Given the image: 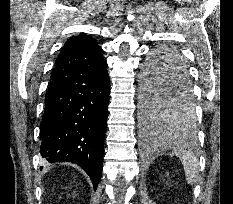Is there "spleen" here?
Returning a JSON list of instances; mask_svg holds the SVG:
<instances>
[{
  "label": "spleen",
  "instance_id": "obj_1",
  "mask_svg": "<svg viewBox=\"0 0 233 204\" xmlns=\"http://www.w3.org/2000/svg\"><path fill=\"white\" fill-rule=\"evenodd\" d=\"M173 151L184 167L187 183L191 186L194 185L198 181L200 171L197 156L190 149L180 144L176 145Z\"/></svg>",
  "mask_w": 233,
  "mask_h": 204
}]
</instances>
